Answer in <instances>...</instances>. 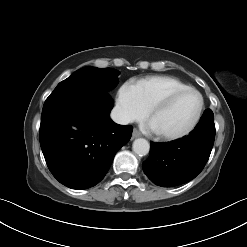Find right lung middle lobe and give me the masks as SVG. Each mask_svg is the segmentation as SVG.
<instances>
[{
	"instance_id": "1",
	"label": "right lung middle lobe",
	"mask_w": 247,
	"mask_h": 247,
	"mask_svg": "<svg viewBox=\"0 0 247 247\" xmlns=\"http://www.w3.org/2000/svg\"><path fill=\"white\" fill-rule=\"evenodd\" d=\"M119 71L111 68L85 67L60 82L52 94L72 90L109 91L118 84Z\"/></svg>"
}]
</instances>
